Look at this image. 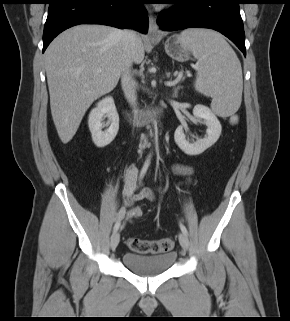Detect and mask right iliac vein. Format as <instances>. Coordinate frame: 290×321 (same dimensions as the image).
Listing matches in <instances>:
<instances>
[{
	"label": "right iliac vein",
	"mask_w": 290,
	"mask_h": 321,
	"mask_svg": "<svg viewBox=\"0 0 290 321\" xmlns=\"http://www.w3.org/2000/svg\"><path fill=\"white\" fill-rule=\"evenodd\" d=\"M120 241V233L119 232H114L112 237H111V242H110V247L111 249H115Z\"/></svg>",
	"instance_id": "right-iliac-vein-1"
}]
</instances>
